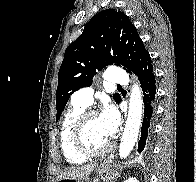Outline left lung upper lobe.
<instances>
[{
	"label": "left lung upper lobe",
	"mask_w": 196,
	"mask_h": 182,
	"mask_svg": "<svg viewBox=\"0 0 196 182\" xmlns=\"http://www.w3.org/2000/svg\"><path fill=\"white\" fill-rule=\"evenodd\" d=\"M148 54L136 27L123 12L106 9L96 14L65 51L58 73L56 120L70 95L92 84L96 70L117 64L125 66L129 73L135 72ZM113 98L116 103L121 101L117 93Z\"/></svg>",
	"instance_id": "obj_1"
}]
</instances>
